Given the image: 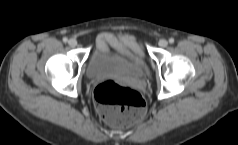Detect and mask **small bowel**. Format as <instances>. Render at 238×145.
Instances as JSON below:
<instances>
[{"label": "small bowel", "mask_w": 238, "mask_h": 145, "mask_svg": "<svg viewBox=\"0 0 238 145\" xmlns=\"http://www.w3.org/2000/svg\"><path fill=\"white\" fill-rule=\"evenodd\" d=\"M97 45L103 51L108 52L109 48H115L120 53L133 58L128 48L135 50L140 53L142 51V46L134 37L125 36L118 38L111 33H102L97 40Z\"/></svg>", "instance_id": "obj_1"}]
</instances>
